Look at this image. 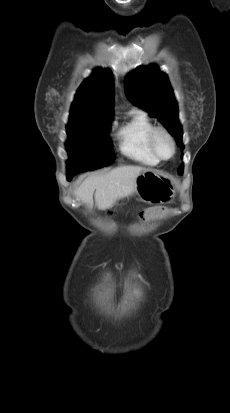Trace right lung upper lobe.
<instances>
[{"label": "right lung upper lobe", "mask_w": 230, "mask_h": 413, "mask_svg": "<svg viewBox=\"0 0 230 413\" xmlns=\"http://www.w3.org/2000/svg\"><path fill=\"white\" fill-rule=\"evenodd\" d=\"M114 100L113 74L97 68L78 89L72 103L67 126L112 119Z\"/></svg>", "instance_id": "1"}]
</instances>
